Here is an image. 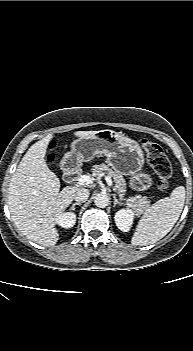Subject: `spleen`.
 I'll use <instances>...</instances> for the list:
<instances>
[{
    "label": "spleen",
    "mask_w": 193,
    "mask_h": 351,
    "mask_svg": "<svg viewBox=\"0 0 193 351\" xmlns=\"http://www.w3.org/2000/svg\"><path fill=\"white\" fill-rule=\"evenodd\" d=\"M185 203V188L176 187L170 197L160 199L139 220L131 244L144 246L166 236L180 217Z\"/></svg>",
    "instance_id": "1"
}]
</instances>
